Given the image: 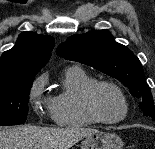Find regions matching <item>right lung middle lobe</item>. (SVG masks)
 I'll return each mask as SVG.
<instances>
[{"instance_id": "dd1d6c3e", "label": "right lung middle lobe", "mask_w": 155, "mask_h": 149, "mask_svg": "<svg viewBox=\"0 0 155 149\" xmlns=\"http://www.w3.org/2000/svg\"><path fill=\"white\" fill-rule=\"evenodd\" d=\"M34 78L35 75L0 78V126L25 123Z\"/></svg>"}]
</instances>
